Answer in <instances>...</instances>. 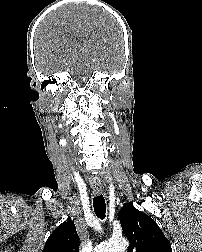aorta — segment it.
<instances>
[{
  "label": "aorta",
  "instance_id": "obj_1",
  "mask_svg": "<svg viewBox=\"0 0 202 252\" xmlns=\"http://www.w3.org/2000/svg\"><path fill=\"white\" fill-rule=\"evenodd\" d=\"M128 241L125 238L111 240L97 247L96 252H125Z\"/></svg>",
  "mask_w": 202,
  "mask_h": 252
}]
</instances>
